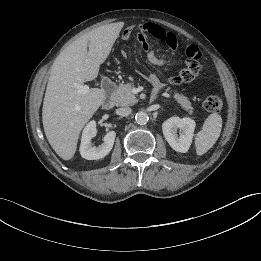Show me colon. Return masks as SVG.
I'll return each mask as SVG.
<instances>
[{"instance_id": "1", "label": "colon", "mask_w": 261, "mask_h": 261, "mask_svg": "<svg viewBox=\"0 0 261 261\" xmlns=\"http://www.w3.org/2000/svg\"><path fill=\"white\" fill-rule=\"evenodd\" d=\"M134 31L135 28L132 25H129L118 35V40L120 42L126 43ZM203 106L208 112H218L223 106V101L219 96L209 95L204 99Z\"/></svg>"}]
</instances>
